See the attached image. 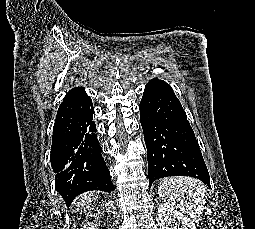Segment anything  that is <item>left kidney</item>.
Instances as JSON below:
<instances>
[{
    "instance_id": "5707ae66",
    "label": "left kidney",
    "mask_w": 255,
    "mask_h": 229,
    "mask_svg": "<svg viewBox=\"0 0 255 229\" xmlns=\"http://www.w3.org/2000/svg\"><path fill=\"white\" fill-rule=\"evenodd\" d=\"M158 217L160 229H196L195 224L190 218L168 204H161L159 206Z\"/></svg>"
}]
</instances>
